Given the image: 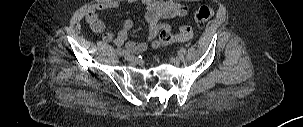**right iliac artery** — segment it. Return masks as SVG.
<instances>
[{"label":"right iliac artery","mask_w":303,"mask_h":127,"mask_svg":"<svg viewBox=\"0 0 303 127\" xmlns=\"http://www.w3.org/2000/svg\"><path fill=\"white\" fill-rule=\"evenodd\" d=\"M116 52H117L119 55H124V54H126V50L121 49V48H117V49H116Z\"/></svg>","instance_id":"1"}]
</instances>
